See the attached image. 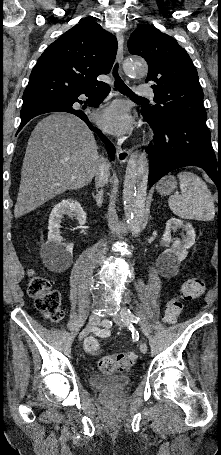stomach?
<instances>
[{"instance_id": "stomach-1", "label": "stomach", "mask_w": 221, "mask_h": 455, "mask_svg": "<svg viewBox=\"0 0 221 455\" xmlns=\"http://www.w3.org/2000/svg\"><path fill=\"white\" fill-rule=\"evenodd\" d=\"M177 187V181L173 176H166L156 186L157 192L161 195L171 194Z\"/></svg>"}]
</instances>
